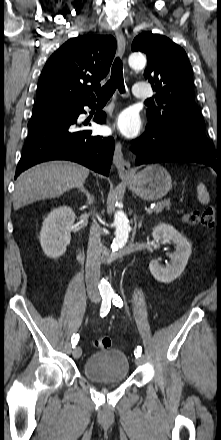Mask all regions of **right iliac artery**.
I'll use <instances>...</instances> for the list:
<instances>
[{
  "instance_id": "right-iliac-artery-1",
  "label": "right iliac artery",
  "mask_w": 221,
  "mask_h": 440,
  "mask_svg": "<svg viewBox=\"0 0 221 440\" xmlns=\"http://www.w3.org/2000/svg\"><path fill=\"white\" fill-rule=\"evenodd\" d=\"M111 307V299L110 297H103V301L101 304V308H100V316L104 317L107 315V313L109 312ZM79 340V335H73L72 339H71V343H72V347H75V345L77 344Z\"/></svg>"
}]
</instances>
